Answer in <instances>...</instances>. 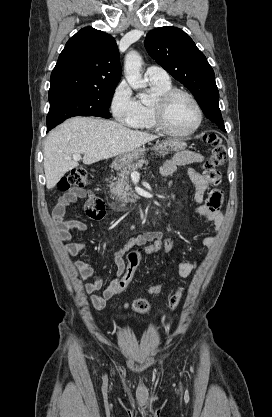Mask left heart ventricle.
Instances as JSON below:
<instances>
[{
  "mask_svg": "<svg viewBox=\"0 0 272 417\" xmlns=\"http://www.w3.org/2000/svg\"><path fill=\"white\" fill-rule=\"evenodd\" d=\"M166 121L174 131L186 132L196 124V109L188 98L179 96L170 104L166 114Z\"/></svg>",
  "mask_w": 272,
  "mask_h": 417,
  "instance_id": "left-heart-ventricle-1",
  "label": "left heart ventricle"
}]
</instances>
